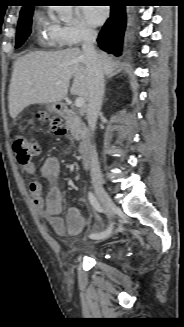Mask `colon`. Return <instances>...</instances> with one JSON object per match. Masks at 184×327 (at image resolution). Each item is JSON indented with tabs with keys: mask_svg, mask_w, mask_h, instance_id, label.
<instances>
[{
	"mask_svg": "<svg viewBox=\"0 0 184 327\" xmlns=\"http://www.w3.org/2000/svg\"><path fill=\"white\" fill-rule=\"evenodd\" d=\"M38 119L49 120L51 129L56 135L63 136L66 134V129L64 128L61 119L57 117L49 118L46 113H40ZM12 147L18 162L23 166L29 164L31 160L40 153V145L38 141L24 135L23 133H17L14 135Z\"/></svg>",
	"mask_w": 184,
	"mask_h": 327,
	"instance_id": "1",
	"label": "colon"
}]
</instances>
